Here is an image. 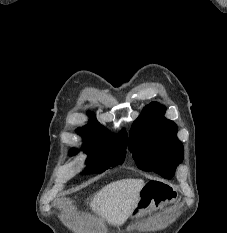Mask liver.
I'll return each instance as SVG.
<instances>
[{"instance_id": "1", "label": "liver", "mask_w": 227, "mask_h": 233, "mask_svg": "<svg viewBox=\"0 0 227 233\" xmlns=\"http://www.w3.org/2000/svg\"><path fill=\"white\" fill-rule=\"evenodd\" d=\"M144 184V180L134 178L112 182L94 195L90 207L109 224L123 225L137 205Z\"/></svg>"}]
</instances>
